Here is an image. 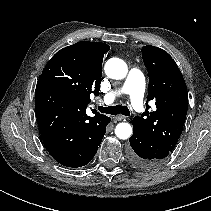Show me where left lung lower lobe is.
<instances>
[{"mask_svg":"<svg viewBox=\"0 0 211 211\" xmlns=\"http://www.w3.org/2000/svg\"><path fill=\"white\" fill-rule=\"evenodd\" d=\"M134 132L129 139L128 156L131 164L140 170H151L159 167L171 153L163 144L145 135L133 126Z\"/></svg>","mask_w":211,"mask_h":211,"instance_id":"obj_1","label":"left lung lower lobe"}]
</instances>
